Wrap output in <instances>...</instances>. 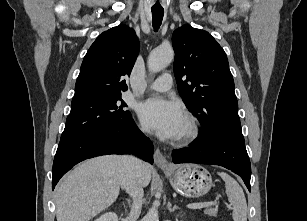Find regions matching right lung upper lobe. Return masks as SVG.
Segmentation results:
<instances>
[{
    "instance_id": "cb5924a9",
    "label": "right lung upper lobe",
    "mask_w": 307,
    "mask_h": 221,
    "mask_svg": "<svg viewBox=\"0 0 307 221\" xmlns=\"http://www.w3.org/2000/svg\"><path fill=\"white\" fill-rule=\"evenodd\" d=\"M138 53L132 28L119 25L100 34L84 57L72 103L121 95Z\"/></svg>"
}]
</instances>
